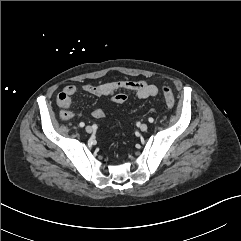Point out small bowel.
Listing matches in <instances>:
<instances>
[{"label": "small bowel", "instance_id": "small-bowel-1", "mask_svg": "<svg viewBox=\"0 0 241 241\" xmlns=\"http://www.w3.org/2000/svg\"><path fill=\"white\" fill-rule=\"evenodd\" d=\"M83 90L97 97L112 96L117 91L125 90L134 93L140 99L154 97L158 93V88L144 80L137 81H117L104 84H85ZM75 85H67L57 95L56 103L60 107V118L69 121L75 117L72 109V97L76 94ZM104 111L96 108L92 111V116L96 119L104 117Z\"/></svg>", "mask_w": 241, "mask_h": 241}]
</instances>
